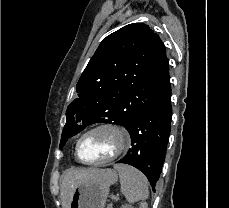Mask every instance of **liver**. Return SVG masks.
Segmentation results:
<instances>
[{
    "label": "liver",
    "instance_id": "6515ba94",
    "mask_svg": "<svg viewBox=\"0 0 229 208\" xmlns=\"http://www.w3.org/2000/svg\"><path fill=\"white\" fill-rule=\"evenodd\" d=\"M103 170L99 168H72L64 174L61 182V200L63 208H69L71 196L74 194L75 188L81 184V182H87V180H94V178H100Z\"/></svg>",
    "mask_w": 229,
    "mask_h": 208
}]
</instances>
